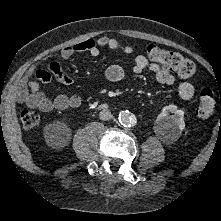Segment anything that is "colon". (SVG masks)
I'll list each match as a JSON object with an SVG mask.
<instances>
[{
  "mask_svg": "<svg viewBox=\"0 0 221 221\" xmlns=\"http://www.w3.org/2000/svg\"><path fill=\"white\" fill-rule=\"evenodd\" d=\"M149 59L162 68L176 72L179 76L190 78L195 74V64L192 60L183 57L181 54L162 49L156 45L147 48ZM216 106L215 96L211 89L204 88L200 91L197 107V114L201 118H208ZM39 115L34 111H24L21 114V123L28 130L35 129L39 124Z\"/></svg>",
  "mask_w": 221,
  "mask_h": 221,
  "instance_id": "obj_1",
  "label": "colon"
}]
</instances>
